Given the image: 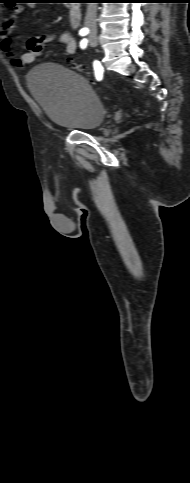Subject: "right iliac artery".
I'll use <instances>...</instances> for the list:
<instances>
[{
  "label": "right iliac artery",
  "instance_id": "82829eb1",
  "mask_svg": "<svg viewBox=\"0 0 190 483\" xmlns=\"http://www.w3.org/2000/svg\"><path fill=\"white\" fill-rule=\"evenodd\" d=\"M89 33V30L87 28H82L80 31H79V34L81 36H85ZM94 70H95V75H96V79L97 80H100V73H101V70H102V66L100 65L99 62L95 61L94 62Z\"/></svg>",
  "mask_w": 190,
  "mask_h": 483
}]
</instances>
